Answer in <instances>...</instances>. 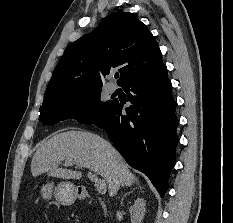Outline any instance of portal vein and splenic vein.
<instances>
[{
  "label": "portal vein and splenic vein",
  "instance_id": "portal-vein-and-splenic-vein-1",
  "mask_svg": "<svg viewBox=\"0 0 233 223\" xmlns=\"http://www.w3.org/2000/svg\"><path fill=\"white\" fill-rule=\"evenodd\" d=\"M88 177L89 179H91V181H94V185H96L97 189H99V193H102L103 195V191L106 187L104 179H99V177H97V175H94L92 171H89Z\"/></svg>",
  "mask_w": 233,
  "mask_h": 223
}]
</instances>
